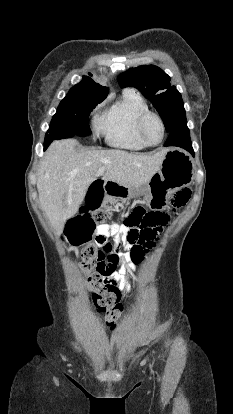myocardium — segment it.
Here are the masks:
<instances>
[{
    "mask_svg": "<svg viewBox=\"0 0 233 414\" xmlns=\"http://www.w3.org/2000/svg\"><path fill=\"white\" fill-rule=\"evenodd\" d=\"M150 118H155L159 122V124H160L161 131H162V135H161V138H160V140L158 142H152V141H150L149 138H148V136H147V134H146L145 126H146L147 121ZM137 126H138V131H139V134H140L141 138L147 144H149L150 146L151 145H157V144L161 143L163 141L164 137H165L166 127H165L164 120H163V118L161 117L160 114H158V113H156L154 111H150L149 110V111L143 113L140 116L139 120H138Z\"/></svg>",
    "mask_w": 233,
    "mask_h": 414,
    "instance_id": "1",
    "label": "myocardium"
}]
</instances>
